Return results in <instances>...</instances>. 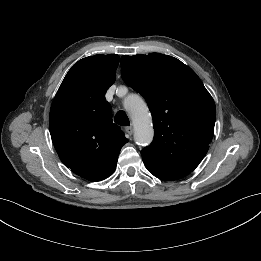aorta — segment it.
<instances>
[{"label": "aorta", "instance_id": "obj_1", "mask_svg": "<svg viewBox=\"0 0 261 261\" xmlns=\"http://www.w3.org/2000/svg\"><path fill=\"white\" fill-rule=\"evenodd\" d=\"M134 126V140L138 145H148L154 137L152 118L147 104L138 95H129L124 101Z\"/></svg>", "mask_w": 261, "mask_h": 261}]
</instances>
